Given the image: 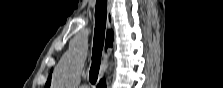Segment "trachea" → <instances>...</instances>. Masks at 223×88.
<instances>
[{"mask_svg": "<svg viewBox=\"0 0 223 88\" xmlns=\"http://www.w3.org/2000/svg\"><path fill=\"white\" fill-rule=\"evenodd\" d=\"M107 16V0H97L95 6V32L93 40L92 65L89 72L91 84H95L101 63V55L104 46L105 27Z\"/></svg>", "mask_w": 223, "mask_h": 88, "instance_id": "trachea-1", "label": "trachea"}]
</instances>
